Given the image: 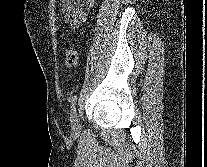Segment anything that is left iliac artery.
I'll return each instance as SVG.
<instances>
[{
  "mask_svg": "<svg viewBox=\"0 0 207 167\" xmlns=\"http://www.w3.org/2000/svg\"><path fill=\"white\" fill-rule=\"evenodd\" d=\"M76 103H77V95H73L71 97V110H75Z\"/></svg>",
  "mask_w": 207,
  "mask_h": 167,
  "instance_id": "44dca946",
  "label": "left iliac artery"
}]
</instances>
